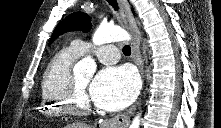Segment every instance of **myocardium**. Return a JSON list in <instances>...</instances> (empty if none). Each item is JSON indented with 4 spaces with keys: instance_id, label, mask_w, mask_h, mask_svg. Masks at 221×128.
<instances>
[{
    "instance_id": "myocardium-1",
    "label": "myocardium",
    "mask_w": 221,
    "mask_h": 128,
    "mask_svg": "<svg viewBox=\"0 0 221 128\" xmlns=\"http://www.w3.org/2000/svg\"><path fill=\"white\" fill-rule=\"evenodd\" d=\"M66 109L68 113L75 115H83L91 111L90 100L78 85L75 77L72 79L67 93Z\"/></svg>"
}]
</instances>
